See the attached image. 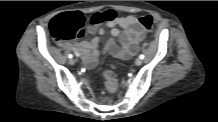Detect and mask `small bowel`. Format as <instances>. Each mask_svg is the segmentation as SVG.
Listing matches in <instances>:
<instances>
[{
    "mask_svg": "<svg viewBox=\"0 0 218 122\" xmlns=\"http://www.w3.org/2000/svg\"><path fill=\"white\" fill-rule=\"evenodd\" d=\"M103 27H109L113 37H119V44L113 38H110L105 44L104 52H108L119 59H128L133 56L145 37V28L138 18L133 15L121 17L116 13L114 7H105L102 12H94L88 17L87 32L89 34L99 33L102 35L104 30L100 28ZM68 46L82 57L85 66L92 68L97 64L101 53L97 37L90 41L72 42Z\"/></svg>",
    "mask_w": 218,
    "mask_h": 122,
    "instance_id": "c3829d8e",
    "label": "small bowel"
}]
</instances>
